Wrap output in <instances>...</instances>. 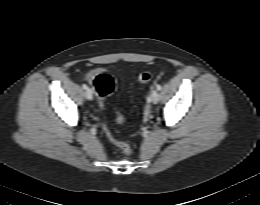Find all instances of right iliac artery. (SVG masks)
<instances>
[{
    "label": "right iliac artery",
    "mask_w": 260,
    "mask_h": 205,
    "mask_svg": "<svg viewBox=\"0 0 260 205\" xmlns=\"http://www.w3.org/2000/svg\"><path fill=\"white\" fill-rule=\"evenodd\" d=\"M83 89L87 90L88 89V86L86 84H83L82 85Z\"/></svg>",
    "instance_id": "obj_1"
}]
</instances>
